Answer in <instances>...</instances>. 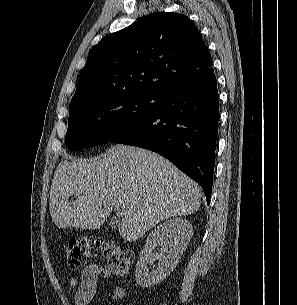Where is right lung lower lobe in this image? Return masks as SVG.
Listing matches in <instances>:
<instances>
[{"label": "right lung lower lobe", "mask_w": 297, "mask_h": 305, "mask_svg": "<svg viewBox=\"0 0 297 305\" xmlns=\"http://www.w3.org/2000/svg\"><path fill=\"white\" fill-rule=\"evenodd\" d=\"M219 120L214 73L168 89L148 116L110 139L142 147L169 159L204 190L210 202Z\"/></svg>", "instance_id": "right-lung-lower-lobe-1"}]
</instances>
